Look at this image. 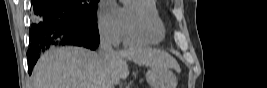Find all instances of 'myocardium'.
Listing matches in <instances>:
<instances>
[{"label": "myocardium", "instance_id": "myocardium-1", "mask_svg": "<svg viewBox=\"0 0 267 88\" xmlns=\"http://www.w3.org/2000/svg\"><path fill=\"white\" fill-rule=\"evenodd\" d=\"M137 21H141V18L139 16H136L135 18Z\"/></svg>", "mask_w": 267, "mask_h": 88}]
</instances>
